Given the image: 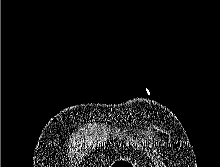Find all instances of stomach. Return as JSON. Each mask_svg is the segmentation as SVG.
<instances>
[{
    "instance_id": "obj_1",
    "label": "stomach",
    "mask_w": 220,
    "mask_h": 167,
    "mask_svg": "<svg viewBox=\"0 0 220 167\" xmlns=\"http://www.w3.org/2000/svg\"><path fill=\"white\" fill-rule=\"evenodd\" d=\"M109 167H135V163L129 158H118Z\"/></svg>"
}]
</instances>
